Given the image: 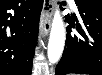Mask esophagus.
Returning a JSON list of instances; mask_svg holds the SVG:
<instances>
[{
  "label": "esophagus",
  "instance_id": "34e87169",
  "mask_svg": "<svg viewBox=\"0 0 102 75\" xmlns=\"http://www.w3.org/2000/svg\"><path fill=\"white\" fill-rule=\"evenodd\" d=\"M54 11L53 0H44L40 16V34L46 36L51 28V16Z\"/></svg>",
  "mask_w": 102,
  "mask_h": 75
}]
</instances>
